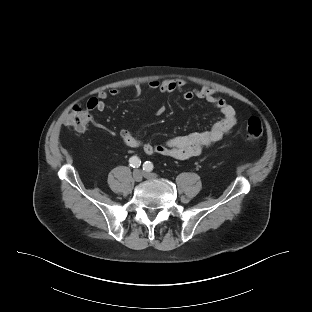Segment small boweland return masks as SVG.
<instances>
[{"mask_svg":"<svg viewBox=\"0 0 312 312\" xmlns=\"http://www.w3.org/2000/svg\"><path fill=\"white\" fill-rule=\"evenodd\" d=\"M134 89L135 96H139L142 93L141 86L135 85ZM148 89L152 92L159 91L161 93L179 92L185 100L201 99L218 109L221 113V117L214 122L210 130L172 137L161 144L144 142L128 129L120 131V137L125 145L135 148L141 147L148 155H161L180 160L197 156L204 149L214 145L225 135L229 134L237 123L234 108L211 87L188 88L184 80L165 79L150 81ZM120 93V90L116 88L100 91L96 97L88 101L87 107L91 111H104L106 109V100L109 97H117ZM165 109V104L160 105L157 114L164 113Z\"/></svg>","mask_w":312,"mask_h":312,"instance_id":"c3829d8e","label":"small bowel"}]
</instances>
